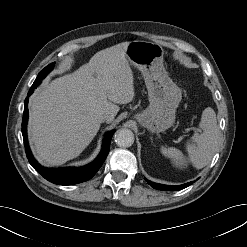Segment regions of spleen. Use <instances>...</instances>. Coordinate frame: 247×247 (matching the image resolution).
<instances>
[{
    "label": "spleen",
    "instance_id": "obj_1",
    "mask_svg": "<svg viewBox=\"0 0 247 247\" xmlns=\"http://www.w3.org/2000/svg\"><path fill=\"white\" fill-rule=\"evenodd\" d=\"M199 126L203 132L194 134L192 140L195 144L186 146L189 160L196 169L205 167L211 161L219 142L216 114L212 108L208 107L203 111ZM161 153L176 165L180 166L184 163L182 152L176 148L162 147Z\"/></svg>",
    "mask_w": 247,
    "mask_h": 247
}]
</instances>
